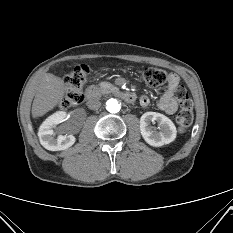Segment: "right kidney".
Listing matches in <instances>:
<instances>
[{"label":"right kidney","instance_id":"1","mask_svg":"<svg viewBox=\"0 0 233 233\" xmlns=\"http://www.w3.org/2000/svg\"><path fill=\"white\" fill-rule=\"evenodd\" d=\"M67 119L64 111H58L49 116L40 126L38 137L41 145L50 151H60L71 147L76 138L71 134L62 135L64 130L56 127ZM58 134L56 138L55 135Z\"/></svg>","mask_w":233,"mask_h":233}]
</instances>
